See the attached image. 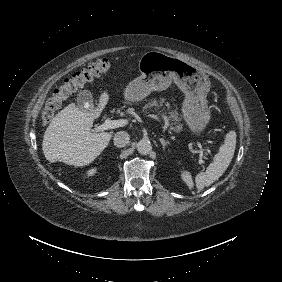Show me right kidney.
Segmentation results:
<instances>
[{
	"label": "right kidney",
	"instance_id": "ca27d5eb",
	"mask_svg": "<svg viewBox=\"0 0 282 282\" xmlns=\"http://www.w3.org/2000/svg\"><path fill=\"white\" fill-rule=\"evenodd\" d=\"M96 172H97V168H92V169H89L86 174L87 176H93L96 174Z\"/></svg>",
	"mask_w": 282,
	"mask_h": 282
}]
</instances>
